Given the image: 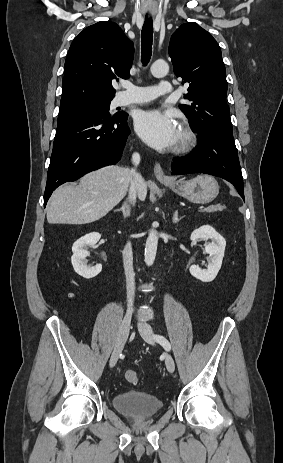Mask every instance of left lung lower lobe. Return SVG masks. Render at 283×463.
<instances>
[{
  "mask_svg": "<svg viewBox=\"0 0 283 463\" xmlns=\"http://www.w3.org/2000/svg\"><path fill=\"white\" fill-rule=\"evenodd\" d=\"M172 173H206L231 182L244 199V186L235 143L216 134L200 135L196 151L173 159Z\"/></svg>",
  "mask_w": 283,
  "mask_h": 463,
  "instance_id": "left-lung-lower-lobe-1",
  "label": "left lung lower lobe"
}]
</instances>
